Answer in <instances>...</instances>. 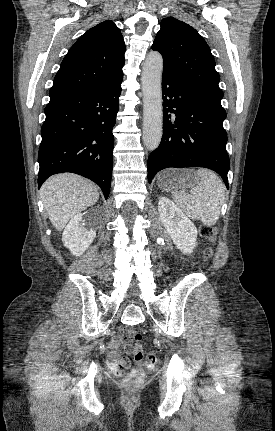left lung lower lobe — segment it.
<instances>
[{"instance_id":"0a47b994","label":"left lung lower lobe","mask_w":275,"mask_h":431,"mask_svg":"<svg viewBox=\"0 0 275 431\" xmlns=\"http://www.w3.org/2000/svg\"><path fill=\"white\" fill-rule=\"evenodd\" d=\"M163 136L147 162L148 181L165 168L205 167L217 172L227 188L226 112L216 109L163 71ZM174 114V117H171Z\"/></svg>"}]
</instances>
